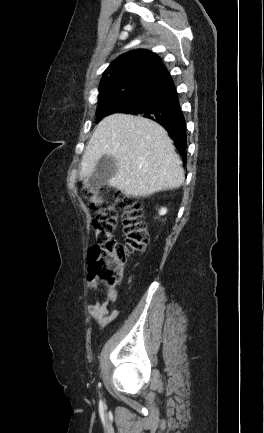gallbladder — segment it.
<instances>
[{
	"mask_svg": "<svg viewBox=\"0 0 264 433\" xmlns=\"http://www.w3.org/2000/svg\"><path fill=\"white\" fill-rule=\"evenodd\" d=\"M117 169L116 159L104 155L99 159L93 173L85 179L84 185L92 189L101 188L116 174Z\"/></svg>",
	"mask_w": 264,
	"mask_h": 433,
	"instance_id": "gallbladder-1",
	"label": "gallbladder"
}]
</instances>
